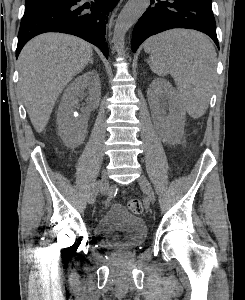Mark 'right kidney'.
<instances>
[{
	"label": "right kidney",
	"instance_id": "obj_1",
	"mask_svg": "<svg viewBox=\"0 0 245 300\" xmlns=\"http://www.w3.org/2000/svg\"><path fill=\"white\" fill-rule=\"evenodd\" d=\"M88 94L87 103L80 109L82 115H75L79 109V97ZM101 85L95 71L86 72L74 79L65 89L57 113L58 134L67 146L80 145L86 135L87 122L92 110L99 106Z\"/></svg>",
	"mask_w": 245,
	"mask_h": 300
}]
</instances>
